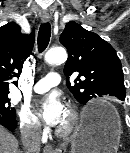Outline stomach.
I'll list each match as a JSON object with an SVG mask.
<instances>
[{
	"label": "stomach",
	"mask_w": 130,
	"mask_h": 153,
	"mask_svg": "<svg viewBox=\"0 0 130 153\" xmlns=\"http://www.w3.org/2000/svg\"><path fill=\"white\" fill-rule=\"evenodd\" d=\"M89 110L106 113L87 119ZM121 133V120L116 109L105 101H94L83 113L72 136L71 153H117Z\"/></svg>",
	"instance_id": "0dacf381"
}]
</instances>
